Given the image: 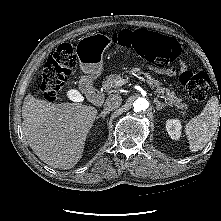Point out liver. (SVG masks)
<instances>
[{
	"label": "liver",
	"mask_w": 221,
	"mask_h": 221,
	"mask_svg": "<svg viewBox=\"0 0 221 221\" xmlns=\"http://www.w3.org/2000/svg\"><path fill=\"white\" fill-rule=\"evenodd\" d=\"M97 109L80 103L54 104L28 94L22 105L23 133L47 165L70 169L83 154Z\"/></svg>",
	"instance_id": "liver-1"
}]
</instances>
